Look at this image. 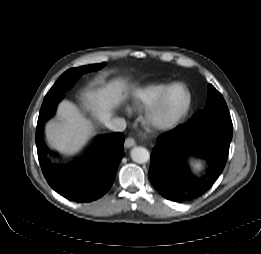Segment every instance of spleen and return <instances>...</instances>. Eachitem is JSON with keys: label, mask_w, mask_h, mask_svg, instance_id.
I'll list each match as a JSON object with an SVG mask.
<instances>
[{"label": "spleen", "mask_w": 261, "mask_h": 254, "mask_svg": "<svg viewBox=\"0 0 261 254\" xmlns=\"http://www.w3.org/2000/svg\"><path fill=\"white\" fill-rule=\"evenodd\" d=\"M194 167H195L196 169H200V168H201V164H200V163H195V164H194Z\"/></svg>", "instance_id": "3e777b00"}]
</instances>
